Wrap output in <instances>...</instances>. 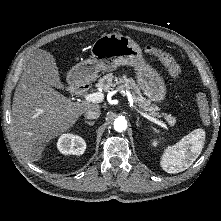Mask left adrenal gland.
I'll return each mask as SVG.
<instances>
[{
  "instance_id": "1",
  "label": "left adrenal gland",
  "mask_w": 221,
  "mask_h": 221,
  "mask_svg": "<svg viewBox=\"0 0 221 221\" xmlns=\"http://www.w3.org/2000/svg\"><path fill=\"white\" fill-rule=\"evenodd\" d=\"M136 126H137V127L140 126V123H139V117H137V120H136Z\"/></svg>"
}]
</instances>
